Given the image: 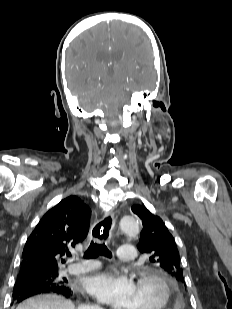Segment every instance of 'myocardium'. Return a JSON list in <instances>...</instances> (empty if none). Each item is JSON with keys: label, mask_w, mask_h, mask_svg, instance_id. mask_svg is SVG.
I'll use <instances>...</instances> for the list:
<instances>
[{"label": "myocardium", "mask_w": 232, "mask_h": 309, "mask_svg": "<svg viewBox=\"0 0 232 309\" xmlns=\"http://www.w3.org/2000/svg\"><path fill=\"white\" fill-rule=\"evenodd\" d=\"M151 281L157 284L162 291V299L159 306L155 309H167L172 301L173 293L167 278L156 270L145 269L137 274V283Z\"/></svg>", "instance_id": "f54148a6"}]
</instances>
